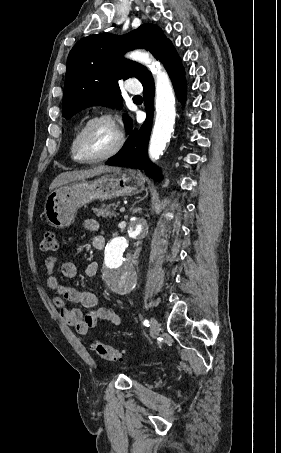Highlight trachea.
<instances>
[{
    "label": "trachea",
    "instance_id": "trachea-1",
    "mask_svg": "<svg viewBox=\"0 0 281 453\" xmlns=\"http://www.w3.org/2000/svg\"><path fill=\"white\" fill-rule=\"evenodd\" d=\"M136 97H140V95H136ZM136 97H134V98H136Z\"/></svg>",
    "mask_w": 281,
    "mask_h": 453
}]
</instances>
